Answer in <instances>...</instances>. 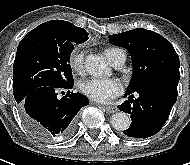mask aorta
I'll list each match as a JSON object with an SVG mask.
<instances>
[{
    "instance_id": "aorta-1",
    "label": "aorta",
    "mask_w": 190,
    "mask_h": 165,
    "mask_svg": "<svg viewBox=\"0 0 190 165\" xmlns=\"http://www.w3.org/2000/svg\"><path fill=\"white\" fill-rule=\"evenodd\" d=\"M85 69L93 76H101L109 72L108 64L105 60L94 54H90L85 59ZM130 118L124 112H117L111 118V125L118 131L127 130L130 126Z\"/></svg>"
}]
</instances>
